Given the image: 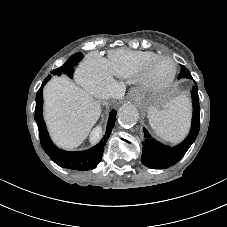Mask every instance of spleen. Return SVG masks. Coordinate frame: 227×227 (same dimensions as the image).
Here are the masks:
<instances>
[{
  "instance_id": "spleen-1",
  "label": "spleen",
  "mask_w": 227,
  "mask_h": 227,
  "mask_svg": "<svg viewBox=\"0 0 227 227\" xmlns=\"http://www.w3.org/2000/svg\"><path fill=\"white\" fill-rule=\"evenodd\" d=\"M189 107L184 98L166 103L163 109L150 108L149 124L154 132L163 140L178 143L189 128Z\"/></svg>"
}]
</instances>
